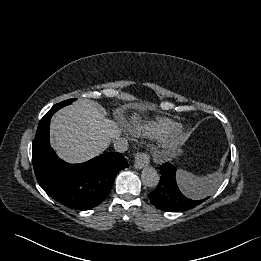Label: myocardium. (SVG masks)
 <instances>
[{"label":"myocardium","instance_id":"f54148a6","mask_svg":"<svg viewBox=\"0 0 261 261\" xmlns=\"http://www.w3.org/2000/svg\"><path fill=\"white\" fill-rule=\"evenodd\" d=\"M183 136H184V131L182 128H178L176 129L170 139L165 143L164 147L166 149H171L173 147H175L182 139H183Z\"/></svg>","mask_w":261,"mask_h":261}]
</instances>
